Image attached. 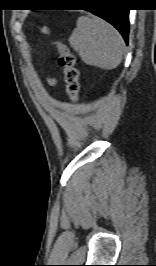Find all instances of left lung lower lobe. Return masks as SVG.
Segmentation results:
<instances>
[{
  "label": "left lung lower lobe",
  "instance_id": "1",
  "mask_svg": "<svg viewBox=\"0 0 156 266\" xmlns=\"http://www.w3.org/2000/svg\"><path fill=\"white\" fill-rule=\"evenodd\" d=\"M97 6L85 9L91 13L105 19L112 24L123 36L126 43H128L129 34V10L122 8L109 7V0H94L91 1Z\"/></svg>",
  "mask_w": 156,
  "mask_h": 266
}]
</instances>
